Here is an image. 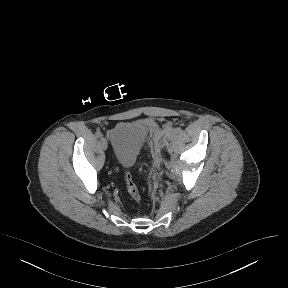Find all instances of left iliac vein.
<instances>
[{
	"instance_id": "obj_1",
	"label": "left iliac vein",
	"mask_w": 288,
	"mask_h": 288,
	"mask_svg": "<svg viewBox=\"0 0 288 288\" xmlns=\"http://www.w3.org/2000/svg\"><path fill=\"white\" fill-rule=\"evenodd\" d=\"M168 138L169 137L164 138V140H163L164 145L167 143Z\"/></svg>"
}]
</instances>
